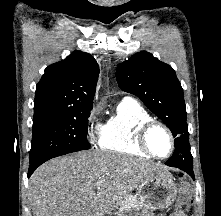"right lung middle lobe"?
<instances>
[{"instance_id": "obj_1", "label": "right lung middle lobe", "mask_w": 221, "mask_h": 216, "mask_svg": "<svg viewBox=\"0 0 221 216\" xmlns=\"http://www.w3.org/2000/svg\"><path fill=\"white\" fill-rule=\"evenodd\" d=\"M91 109L33 122L30 166L64 154L88 150L86 139Z\"/></svg>"}]
</instances>
